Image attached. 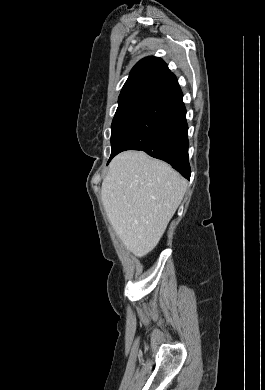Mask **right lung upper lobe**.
Instances as JSON below:
<instances>
[{"label":"right lung upper lobe","mask_w":265,"mask_h":390,"mask_svg":"<svg viewBox=\"0 0 265 390\" xmlns=\"http://www.w3.org/2000/svg\"><path fill=\"white\" fill-rule=\"evenodd\" d=\"M177 85L175 75L161 58L145 57L132 68L118 102L137 97L155 100Z\"/></svg>","instance_id":"obj_1"}]
</instances>
